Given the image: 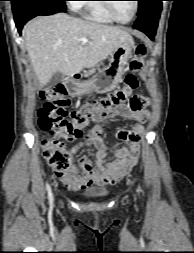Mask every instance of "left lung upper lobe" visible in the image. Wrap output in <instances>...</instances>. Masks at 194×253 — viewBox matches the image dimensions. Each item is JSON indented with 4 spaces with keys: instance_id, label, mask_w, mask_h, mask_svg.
I'll use <instances>...</instances> for the list:
<instances>
[{
    "instance_id": "left-lung-upper-lobe-1",
    "label": "left lung upper lobe",
    "mask_w": 194,
    "mask_h": 253,
    "mask_svg": "<svg viewBox=\"0 0 194 253\" xmlns=\"http://www.w3.org/2000/svg\"><path fill=\"white\" fill-rule=\"evenodd\" d=\"M137 1L139 2V10H138L139 14L147 6V4L155 0H137Z\"/></svg>"
}]
</instances>
